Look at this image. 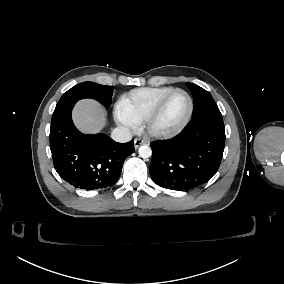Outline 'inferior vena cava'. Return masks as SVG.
I'll return each instance as SVG.
<instances>
[{
    "mask_svg": "<svg viewBox=\"0 0 284 284\" xmlns=\"http://www.w3.org/2000/svg\"><path fill=\"white\" fill-rule=\"evenodd\" d=\"M112 138L120 143H126L132 139V133L126 127H116L112 132Z\"/></svg>",
    "mask_w": 284,
    "mask_h": 284,
    "instance_id": "inferior-vena-cava-1",
    "label": "inferior vena cava"
}]
</instances>
